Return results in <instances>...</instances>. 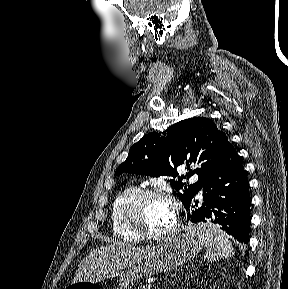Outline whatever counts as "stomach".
Here are the masks:
<instances>
[{
	"mask_svg": "<svg viewBox=\"0 0 288 289\" xmlns=\"http://www.w3.org/2000/svg\"><path fill=\"white\" fill-rule=\"evenodd\" d=\"M202 243L187 228L164 243L154 247L153 253L137 265L126 270H119L93 280L73 282L66 289H127L143 275L174 270L195 257L201 250Z\"/></svg>",
	"mask_w": 288,
	"mask_h": 289,
	"instance_id": "1",
	"label": "stomach"
}]
</instances>
